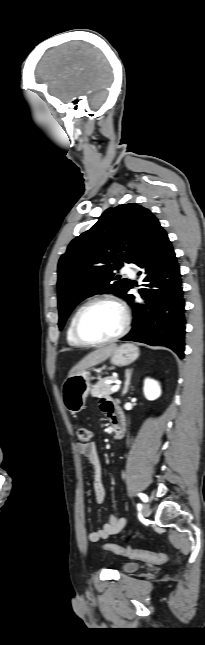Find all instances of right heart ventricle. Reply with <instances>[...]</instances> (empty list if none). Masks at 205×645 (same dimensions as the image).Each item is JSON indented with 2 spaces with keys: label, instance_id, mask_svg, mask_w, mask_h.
Here are the masks:
<instances>
[{
  "label": "right heart ventricle",
  "instance_id": "right-heart-ventricle-1",
  "mask_svg": "<svg viewBox=\"0 0 205 645\" xmlns=\"http://www.w3.org/2000/svg\"><path fill=\"white\" fill-rule=\"evenodd\" d=\"M74 316H75V313L72 315V317H71V319H70V321L68 323L67 330H66V340H67V342H68V344L70 346L79 347V346H82V344L75 338V336L73 334V319H74Z\"/></svg>",
  "mask_w": 205,
  "mask_h": 645
}]
</instances>
